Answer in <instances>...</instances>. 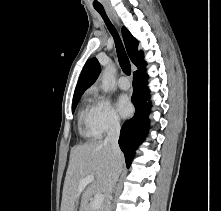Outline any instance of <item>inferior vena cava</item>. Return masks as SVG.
Wrapping results in <instances>:
<instances>
[{"label": "inferior vena cava", "mask_w": 221, "mask_h": 211, "mask_svg": "<svg viewBox=\"0 0 221 211\" xmlns=\"http://www.w3.org/2000/svg\"><path fill=\"white\" fill-rule=\"evenodd\" d=\"M119 134H120V124L117 120H113L110 123L109 129L107 132V137L105 138L104 142L110 145L114 157H119L122 155L121 150L119 148V144H118ZM121 170H122V164L120 162H117L115 164L111 178L109 180L107 199H106V203L104 206V211H112L111 194L113 192L115 183L117 182L118 177L121 173Z\"/></svg>", "instance_id": "602c4592"}]
</instances>
